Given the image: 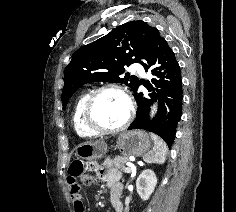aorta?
Masks as SVG:
<instances>
[{"mask_svg": "<svg viewBox=\"0 0 236 212\" xmlns=\"http://www.w3.org/2000/svg\"><path fill=\"white\" fill-rule=\"evenodd\" d=\"M155 109L152 110V114L154 113Z\"/></svg>", "mask_w": 236, "mask_h": 212, "instance_id": "762f6f07", "label": "aorta"}]
</instances>
